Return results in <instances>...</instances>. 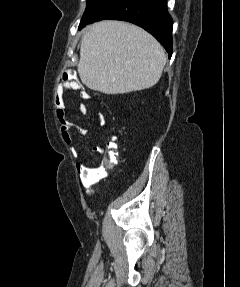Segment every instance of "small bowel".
Instances as JSON below:
<instances>
[{"instance_id": "obj_1", "label": "small bowel", "mask_w": 240, "mask_h": 287, "mask_svg": "<svg viewBox=\"0 0 240 287\" xmlns=\"http://www.w3.org/2000/svg\"><path fill=\"white\" fill-rule=\"evenodd\" d=\"M80 88V84L76 80H66L61 85L57 87L56 94H55V113L57 120L60 123L61 129V136L65 143L72 144L73 139L70 134V129L73 124L66 119L65 115V94L69 90H77ZM80 97L83 100H88L90 98L89 94L86 91L80 92ZM78 111L80 114L85 115L88 112V107L85 104H80L78 107ZM98 122L100 126H104L106 123L105 116L103 114H99ZM78 131L82 135H86L89 133V130L84 127H77ZM104 148L102 146H97L94 148V152L96 153H103Z\"/></svg>"}]
</instances>
